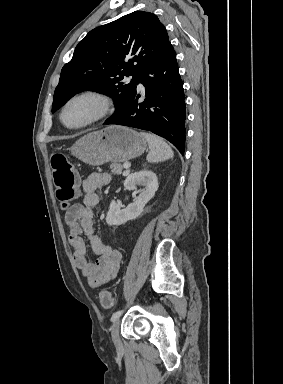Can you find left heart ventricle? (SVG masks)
<instances>
[{"instance_id":"obj_1","label":"left heart ventricle","mask_w":283,"mask_h":384,"mask_svg":"<svg viewBox=\"0 0 283 384\" xmlns=\"http://www.w3.org/2000/svg\"><path fill=\"white\" fill-rule=\"evenodd\" d=\"M96 104L90 99H79L69 105L64 113V122L76 126L89 120L95 113Z\"/></svg>"}]
</instances>
